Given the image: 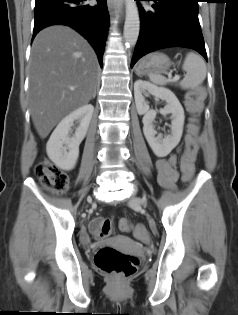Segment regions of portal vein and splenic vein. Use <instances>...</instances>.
Wrapping results in <instances>:
<instances>
[{"instance_id": "obj_1", "label": "portal vein and splenic vein", "mask_w": 238, "mask_h": 315, "mask_svg": "<svg viewBox=\"0 0 238 315\" xmlns=\"http://www.w3.org/2000/svg\"><path fill=\"white\" fill-rule=\"evenodd\" d=\"M169 79L170 80H173V81H177L180 79V76L179 75H175L173 78L171 77V75H169ZM71 90H74V88H70Z\"/></svg>"}]
</instances>
